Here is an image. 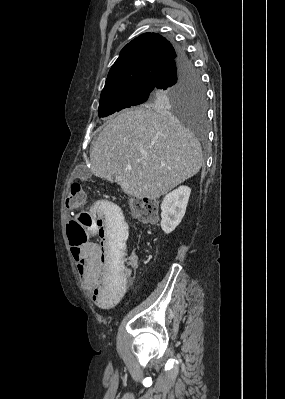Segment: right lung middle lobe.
I'll list each match as a JSON object with an SVG mask.
<instances>
[{
    "label": "right lung middle lobe",
    "mask_w": 285,
    "mask_h": 399,
    "mask_svg": "<svg viewBox=\"0 0 285 399\" xmlns=\"http://www.w3.org/2000/svg\"><path fill=\"white\" fill-rule=\"evenodd\" d=\"M154 108L171 113L201 126L205 121V90L194 67L173 84L161 89H135L100 98L98 115L106 117L132 106Z\"/></svg>",
    "instance_id": "1"
}]
</instances>
